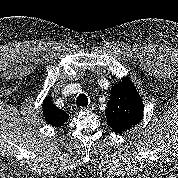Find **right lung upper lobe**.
<instances>
[{
	"mask_svg": "<svg viewBox=\"0 0 178 178\" xmlns=\"http://www.w3.org/2000/svg\"><path fill=\"white\" fill-rule=\"evenodd\" d=\"M42 109L46 122L52 126L60 127L68 120L69 114L57 108L48 97L44 100Z\"/></svg>",
	"mask_w": 178,
	"mask_h": 178,
	"instance_id": "obj_1",
	"label": "right lung upper lobe"
}]
</instances>
